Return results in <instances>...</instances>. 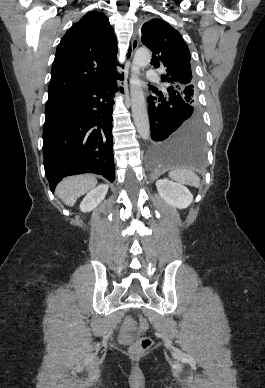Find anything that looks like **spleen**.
Wrapping results in <instances>:
<instances>
[{
  "label": "spleen",
  "instance_id": "obj_1",
  "mask_svg": "<svg viewBox=\"0 0 265 388\" xmlns=\"http://www.w3.org/2000/svg\"><path fill=\"white\" fill-rule=\"evenodd\" d=\"M169 178L186 186H199V178L191 170H172L169 172Z\"/></svg>",
  "mask_w": 265,
  "mask_h": 388
}]
</instances>
